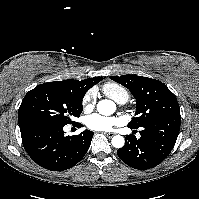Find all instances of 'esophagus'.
Here are the masks:
<instances>
[{"label": "esophagus", "mask_w": 199, "mask_h": 199, "mask_svg": "<svg viewBox=\"0 0 199 199\" xmlns=\"http://www.w3.org/2000/svg\"><path fill=\"white\" fill-rule=\"evenodd\" d=\"M107 137L112 138L114 136V133H105Z\"/></svg>", "instance_id": "obj_1"}]
</instances>
